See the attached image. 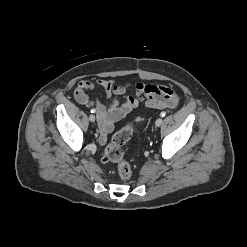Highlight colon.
Returning <instances> with one entry per match:
<instances>
[{
  "label": "colon",
  "instance_id": "1",
  "mask_svg": "<svg viewBox=\"0 0 247 247\" xmlns=\"http://www.w3.org/2000/svg\"><path fill=\"white\" fill-rule=\"evenodd\" d=\"M133 129L131 124L124 126L112 137L111 142L106 146L104 160L118 164L119 175L123 180H129L132 170L129 163L124 159L122 146L132 137Z\"/></svg>",
  "mask_w": 247,
  "mask_h": 247
}]
</instances>
